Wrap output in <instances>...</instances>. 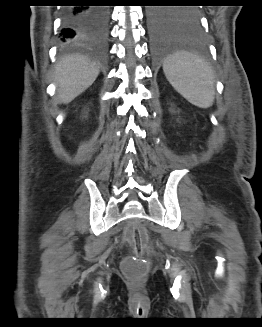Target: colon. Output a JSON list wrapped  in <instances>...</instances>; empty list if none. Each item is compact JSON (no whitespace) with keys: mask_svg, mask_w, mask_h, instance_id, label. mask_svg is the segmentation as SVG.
<instances>
[{"mask_svg":"<svg viewBox=\"0 0 262 327\" xmlns=\"http://www.w3.org/2000/svg\"><path fill=\"white\" fill-rule=\"evenodd\" d=\"M127 238L134 244L135 254L132 258L125 260L123 271L131 280L138 282L148 270V263L143 257V251L147 245V234L141 225L134 224L128 229Z\"/></svg>","mask_w":262,"mask_h":327,"instance_id":"obj_1","label":"colon"}]
</instances>
